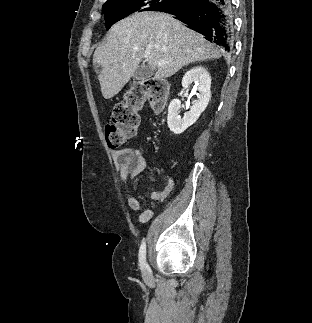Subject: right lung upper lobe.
Instances as JSON below:
<instances>
[{
	"label": "right lung upper lobe",
	"mask_w": 312,
	"mask_h": 323,
	"mask_svg": "<svg viewBox=\"0 0 312 323\" xmlns=\"http://www.w3.org/2000/svg\"><path fill=\"white\" fill-rule=\"evenodd\" d=\"M111 1H113V0H108L106 3L111 2ZM106 3H105V4H106ZM159 11H162V10H159Z\"/></svg>",
	"instance_id": "right-lung-upper-lobe-1"
}]
</instances>
